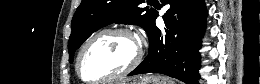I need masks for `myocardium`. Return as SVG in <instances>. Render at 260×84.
Segmentation results:
<instances>
[{
    "label": "myocardium",
    "instance_id": "1",
    "mask_svg": "<svg viewBox=\"0 0 260 84\" xmlns=\"http://www.w3.org/2000/svg\"><path fill=\"white\" fill-rule=\"evenodd\" d=\"M108 33L122 34V35L129 37L131 40H133L137 45L136 55H135L134 59L132 60V62L121 72L113 74L111 76H108V77L100 79V80H95V81L87 80L83 77V75L81 73V64H82L83 56H84L86 50L88 49V47L90 46V44L95 39H97L101 35L108 34ZM143 57H144L143 45H142L138 35L133 30H131L128 27H124V26L105 27V28L100 29L99 31L95 32L92 36H90L87 39V41L84 43V45L82 46V48L79 51V54L77 56L76 71H77L79 78L86 83H91V84L107 83V82H111L113 80L122 78V77L128 75L129 73H131L133 70H135L141 64Z\"/></svg>",
    "mask_w": 260,
    "mask_h": 84
}]
</instances>
